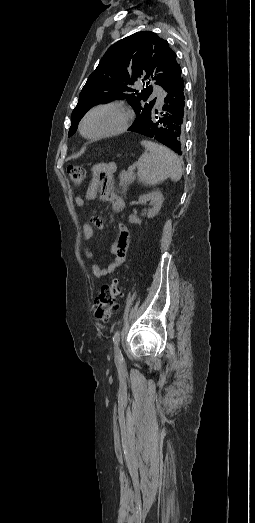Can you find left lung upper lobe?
Here are the masks:
<instances>
[{"label":"left lung upper lobe","instance_id":"obj_1","mask_svg":"<svg viewBox=\"0 0 255 523\" xmlns=\"http://www.w3.org/2000/svg\"><path fill=\"white\" fill-rule=\"evenodd\" d=\"M176 57L167 41L151 31L137 32L116 42L104 54L84 85L71 115L72 125L68 136L76 132L79 121L91 107L115 99H126L134 108L136 120L129 128L134 132L135 125H143L150 118V111L158 106L156 99L147 101L153 91L148 86L150 81L141 91L135 90L132 85L138 79L151 78L167 92V89L183 80Z\"/></svg>","mask_w":255,"mask_h":523}]
</instances>
